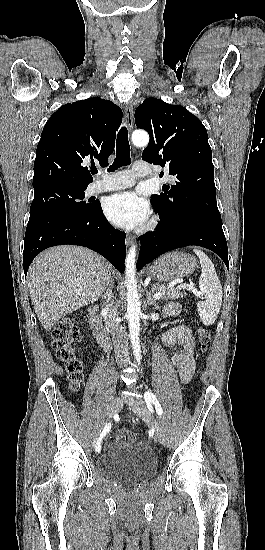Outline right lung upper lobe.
I'll list each match as a JSON object with an SVG mask.
<instances>
[{"label": "right lung upper lobe", "instance_id": "cb5924a9", "mask_svg": "<svg viewBox=\"0 0 265 550\" xmlns=\"http://www.w3.org/2000/svg\"><path fill=\"white\" fill-rule=\"evenodd\" d=\"M122 110L99 97L65 104L47 121L37 146L33 187L63 185L86 189L89 161L108 165Z\"/></svg>", "mask_w": 265, "mask_h": 550}]
</instances>
